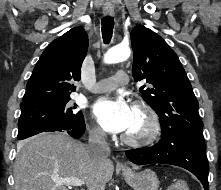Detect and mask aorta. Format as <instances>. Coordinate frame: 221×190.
I'll use <instances>...</instances> for the list:
<instances>
[{"mask_svg": "<svg viewBox=\"0 0 221 190\" xmlns=\"http://www.w3.org/2000/svg\"><path fill=\"white\" fill-rule=\"evenodd\" d=\"M131 54L130 48L128 46L117 45L107 51L104 55V63L114 64L122 62L129 58Z\"/></svg>", "mask_w": 221, "mask_h": 190, "instance_id": "aorta-1", "label": "aorta"}]
</instances>
